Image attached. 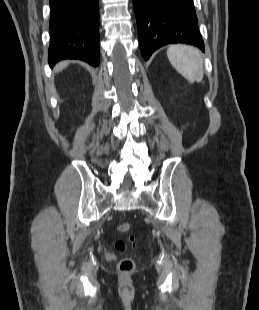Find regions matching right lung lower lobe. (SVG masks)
Wrapping results in <instances>:
<instances>
[{"label":"right lung lower lobe","instance_id":"obj_1","mask_svg":"<svg viewBox=\"0 0 259 310\" xmlns=\"http://www.w3.org/2000/svg\"><path fill=\"white\" fill-rule=\"evenodd\" d=\"M48 61L63 59L99 64L98 0H50Z\"/></svg>","mask_w":259,"mask_h":310}]
</instances>
